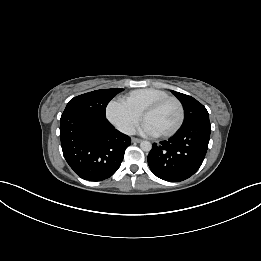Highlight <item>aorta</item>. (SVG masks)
Segmentation results:
<instances>
[{"mask_svg": "<svg viewBox=\"0 0 261 261\" xmlns=\"http://www.w3.org/2000/svg\"><path fill=\"white\" fill-rule=\"evenodd\" d=\"M140 147H141V149H142L143 151L148 152V151L151 150L152 145H151V143H150L149 141H142V142L140 143Z\"/></svg>", "mask_w": 261, "mask_h": 261, "instance_id": "obj_1", "label": "aorta"}]
</instances>
